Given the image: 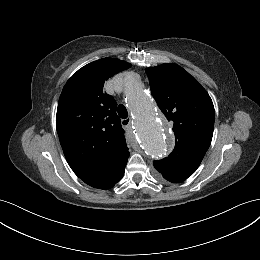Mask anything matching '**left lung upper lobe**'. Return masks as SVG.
Masks as SVG:
<instances>
[{"instance_id": "obj_1", "label": "left lung upper lobe", "mask_w": 260, "mask_h": 260, "mask_svg": "<svg viewBox=\"0 0 260 260\" xmlns=\"http://www.w3.org/2000/svg\"><path fill=\"white\" fill-rule=\"evenodd\" d=\"M151 93L173 125L175 147L168 157L154 161L161 177L187 179L199 167L212 136L215 112L206 90L176 64L146 68Z\"/></svg>"}]
</instances>
